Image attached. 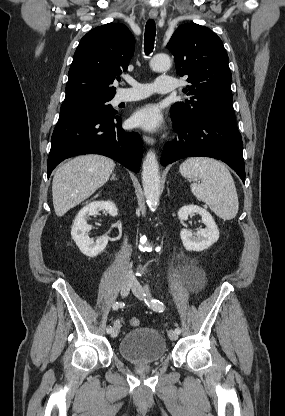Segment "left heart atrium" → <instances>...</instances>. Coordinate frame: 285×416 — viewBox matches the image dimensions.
I'll use <instances>...</instances> for the list:
<instances>
[{"mask_svg":"<svg viewBox=\"0 0 285 416\" xmlns=\"http://www.w3.org/2000/svg\"><path fill=\"white\" fill-rule=\"evenodd\" d=\"M132 119L136 126L148 131L157 130L162 123L161 116L154 105L143 106L134 113Z\"/></svg>","mask_w":285,"mask_h":416,"instance_id":"1","label":"left heart atrium"}]
</instances>
